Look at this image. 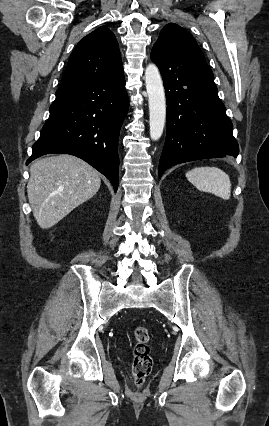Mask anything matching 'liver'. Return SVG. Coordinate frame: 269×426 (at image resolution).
Instances as JSON below:
<instances>
[{"label": "liver", "mask_w": 269, "mask_h": 426, "mask_svg": "<svg viewBox=\"0 0 269 426\" xmlns=\"http://www.w3.org/2000/svg\"><path fill=\"white\" fill-rule=\"evenodd\" d=\"M100 174L85 161L66 154L45 157L30 167L29 203L38 225L48 229L92 198Z\"/></svg>", "instance_id": "liver-1"}]
</instances>
